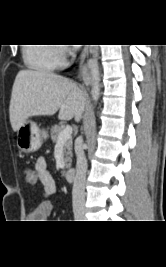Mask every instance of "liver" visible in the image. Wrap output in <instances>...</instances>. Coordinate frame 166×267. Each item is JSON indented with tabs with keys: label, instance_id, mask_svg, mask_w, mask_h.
Returning a JSON list of instances; mask_svg holds the SVG:
<instances>
[{
	"label": "liver",
	"instance_id": "6515ba94",
	"mask_svg": "<svg viewBox=\"0 0 166 267\" xmlns=\"http://www.w3.org/2000/svg\"><path fill=\"white\" fill-rule=\"evenodd\" d=\"M85 95L70 79L54 73L21 70L18 72L9 107L13 131L32 116H51L59 110L60 120L79 122L85 108Z\"/></svg>",
	"mask_w": 166,
	"mask_h": 267
}]
</instances>
